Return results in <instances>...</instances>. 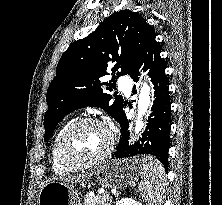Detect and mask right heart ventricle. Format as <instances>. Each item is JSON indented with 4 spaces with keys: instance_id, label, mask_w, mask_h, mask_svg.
I'll return each instance as SVG.
<instances>
[{
    "instance_id": "1",
    "label": "right heart ventricle",
    "mask_w": 222,
    "mask_h": 205,
    "mask_svg": "<svg viewBox=\"0 0 222 205\" xmlns=\"http://www.w3.org/2000/svg\"><path fill=\"white\" fill-rule=\"evenodd\" d=\"M65 127H63L58 132L57 136L55 137V139L53 141L52 148H51V164H52V168H53L54 172L56 174H59V175L70 173V172H73L75 170L73 168H69V167H66L65 165H63L60 162V160L58 158V155H57V142H58V138H59L61 132L63 131V129Z\"/></svg>"
}]
</instances>
